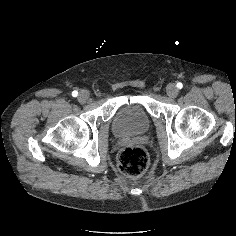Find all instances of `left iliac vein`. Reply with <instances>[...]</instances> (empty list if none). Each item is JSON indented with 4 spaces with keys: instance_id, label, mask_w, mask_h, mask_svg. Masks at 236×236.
<instances>
[{
    "instance_id": "4c4485c4",
    "label": "left iliac vein",
    "mask_w": 236,
    "mask_h": 236,
    "mask_svg": "<svg viewBox=\"0 0 236 236\" xmlns=\"http://www.w3.org/2000/svg\"><path fill=\"white\" fill-rule=\"evenodd\" d=\"M166 92H167V95L171 98H175L177 95H178V89L177 87L174 85V84H169L167 87H166Z\"/></svg>"
}]
</instances>
